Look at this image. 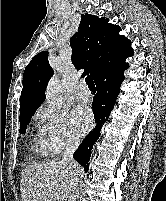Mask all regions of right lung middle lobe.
<instances>
[{"label":"right lung middle lobe","instance_id":"dd1d6c3e","mask_svg":"<svg viewBox=\"0 0 166 201\" xmlns=\"http://www.w3.org/2000/svg\"><path fill=\"white\" fill-rule=\"evenodd\" d=\"M33 114L24 116L20 118V133H25L26 132V125L30 121L31 117Z\"/></svg>","mask_w":166,"mask_h":201}]
</instances>
